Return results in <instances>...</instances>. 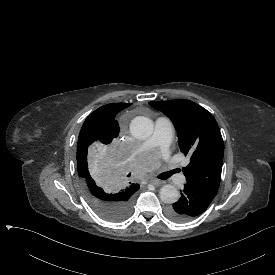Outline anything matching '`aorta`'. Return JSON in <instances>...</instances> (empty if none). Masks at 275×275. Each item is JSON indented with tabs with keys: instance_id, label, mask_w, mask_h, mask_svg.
<instances>
[{
	"instance_id": "aorta-1",
	"label": "aorta",
	"mask_w": 275,
	"mask_h": 275,
	"mask_svg": "<svg viewBox=\"0 0 275 275\" xmlns=\"http://www.w3.org/2000/svg\"><path fill=\"white\" fill-rule=\"evenodd\" d=\"M154 130L151 119L145 116H137L130 123V132L137 140L149 138ZM180 193L173 185H164L160 189V199L163 203L173 204L179 200Z\"/></svg>"
}]
</instances>
